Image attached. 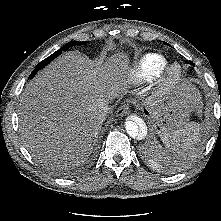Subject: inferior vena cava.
I'll use <instances>...</instances> for the list:
<instances>
[{
    "instance_id": "inferior-vena-cava-1",
    "label": "inferior vena cava",
    "mask_w": 221,
    "mask_h": 221,
    "mask_svg": "<svg viewBox=\"0 0 221 221\" xmlns=\"http://www.w3.org/2000/svg\"><path fill=\"white\" fill-rule=\"evenodd\" d=\"M100 109H101L100 111H101L102 115H103L104 118H105L106 114L108 113V111H109L111 108H110V106H109L108 103H104V104H102V105L100 106Z\"/></svg>"
}]
</instances>
